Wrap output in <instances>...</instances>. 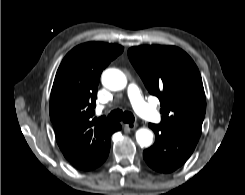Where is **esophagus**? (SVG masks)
Instances as JSON below:
<instances>
[{
  "label": "esophagus",
  "mask_w": 245,
  "mask_h": 195,
  "mask_svg": "<svg viewBox=\"0 0 245 195\" xmlns=\"http://www.w3.org/2000/svg\"><path fill=\"white\" fill-rule=\"evenodd\" d=\"M137 123H126L125 127L130 129V130H134L137 127Z\"/></svg>",
  "instance_id": "obj_1"
}]
</instances>
